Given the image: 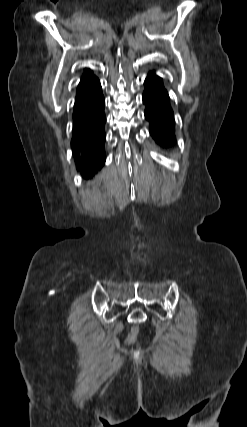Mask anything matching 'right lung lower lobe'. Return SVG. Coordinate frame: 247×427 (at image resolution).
Instances as JSON below:
<instances>
[{
	"mask_svg": "<svg viewBox=\"0 0 247 427\" xmlns=\"http://www.w3.org/2000/svg\"><path fill=\"white\" fill-rule=\"evenodd\" d=\"M105 99L99 80L91 72L81 78L73 112L71 147L77 170L91 178L105 163Z\"/></svg>",
	"mask_w": 247,
	"mask_h": 427,
	"instance_id": "obj_1",
	"label": "right lung lower lobe"
}]
</instances>
